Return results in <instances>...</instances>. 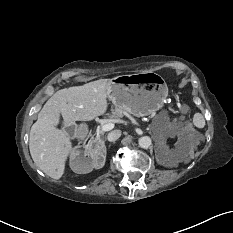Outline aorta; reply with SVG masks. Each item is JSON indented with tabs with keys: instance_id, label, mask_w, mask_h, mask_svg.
Wrapping results in <instances>:
<instances>
[{
	"instance_id": "1",
	"label": "aorta",
	"mask_w": 233,
	"mask_h": 233,
	"mask_svg": "<svg viewBox=\"0 0 233 233\" xmlns=\"http://www.w3.org/2000/svg\"><path fill=\"white\" fill-rule=\"evenodd\" d=\"M138 144L141 148H149L152 144V140L150 137L148 136H143V137H140L139 140H138Z\"/></svg>"
}]
</instances>
